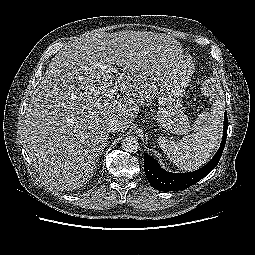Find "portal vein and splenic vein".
Here are the masks:
<instances>
[{"label":"portal vein and splenic vein","mask_w":255,"mask_h":255,"mask_svg":"<svg viewBox=\"0 0 255 255\" xmlns=\"http://www.w3.org/2000/svg\"><path fill=\"white\" fill-rule=\"evenodd\" d=\"M106 69L107 72H112V73H117L118 72V69L114 68V67H104ZM118 92V88L115 86L111 89V94L112 96L117 94Z\"/></svg>","instance_id":"portal-vein-and-splenic-vein-1"}]
</instances>
